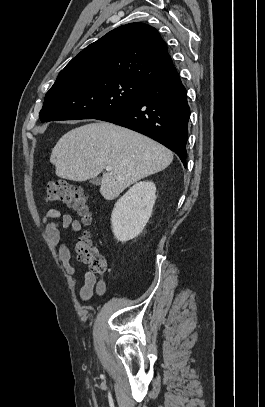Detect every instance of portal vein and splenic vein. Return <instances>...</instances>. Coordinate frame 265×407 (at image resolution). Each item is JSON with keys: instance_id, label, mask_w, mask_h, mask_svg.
Returning <instances> with one entry per match:
<instances>
[{"instance_id": "obj_1", "label": "portal vein and splenic vein", "mask_w": 265, "mask_h": 407, "mask_svg": "<svg viewBox=\"0 0 265 407\" xmlns=\"http://www.w3.org/2000/svg\"><path fill=\"white\" fill-rule=\"evenodd\" d=\"M111 170V167L110 166H107L106 167V171H110Z\"/></svg>"}]
</instances>
